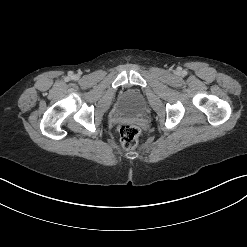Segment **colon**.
Segmentation results:
<instances>
[{
	"label": "colon",
	"mask_w": 247,
	"mask_h": 247,
	"mask_svg": "<svg viewBox=\"0 0 247 247\" xmlns=\"http://www.w3.org/2000/svg\"><path fill=\"white\" fill-rule=\"evenodd\" d=\"M118 133L124 149L135 148L140 135V128L135 124L121 123L118 125Z\"/></svg>",
	"instance_id": "obj_1"
}]
</instances>
